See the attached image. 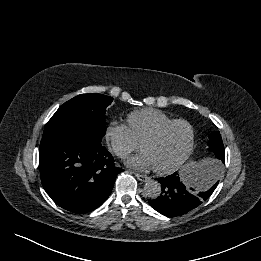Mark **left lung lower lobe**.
Returning a JSON list of instances; mask_svg holds the SVG:
<instances>
[{"mask_svg": "<svg viewBox=\"0 0 261 261\" xmlns=\"http://www.w3.org/2000/svg\"><path fill=\"white\" fill-rule=\"evenodd\" d=\"M220 168V164L208 162L199 170L197 184L193 188L186 187L178 173L159 178L162 193L148 202L156 211L168 217L186 214L212 195L219 183Z\"/></svg>", "mask_w": 261, "mask_h": 261, "instance_id": "1", "label": "left lung lower lobe"}]
</instances>
